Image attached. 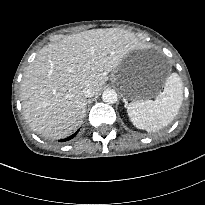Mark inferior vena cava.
I'll use <instances>...</instances> for the list:
<instances>
[{
	"label": "inferior vena cava",
	"instance_id": "1",
	"mask_svg": "<svg viewBox=\"0 0 205 205\" xmlns=\"http://www.w3.org/2000/svg\"><path fill=\"white\" fill-rule=\"evenodd\" d=\"M83 93L86 97H93L95 95L94 89L91 86H86L83 89Z\"/></svg>",
	"mask_w": 205,
	"mask_h": 205
}]
</instances>
